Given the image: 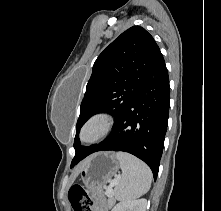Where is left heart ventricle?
<instances>
[{
	"label": "left heart ventricle",
	"mask_w": 221,
	"mask_h": 211,
	"mask_svg": "<svg viewBox=\"0 0 221 211\" xmlns=\"http://www.w3.org/2000/svg\"><path fill=\"white\" fill-rule=\"evenodd\" d=\"M94 130L93 129H90L88 132H87V134H86V136L87 137H92L93 135H94Z\"/></svg>",
	"instance_id": "b2bd125f"
}]
</instances>
